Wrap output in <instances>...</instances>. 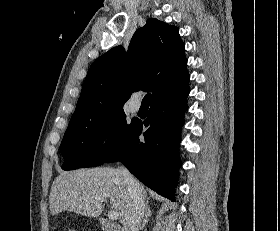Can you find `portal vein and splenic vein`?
I'll use <instances>...</instances> for the list:
<instances>
[{
	"label": "portal vein and splenic vein",
	"mask_w": 280,
	"mask_h": 231,
	"mask_svg": "<svg viewBox=\"0 0 280 231\" xmlns=\"http://www.w3.org/2000/svg\"><path fill=\"white\" fill-rule=\"evenodd\" d=\"M100 201H104V197L103 199H100ZM109 219H111V221H115V219H117L118 217V213L116 211V209H111V211H108L107 213Z\"/></svg>",
	"instance_id": "obj_1"
}]
</instances>
